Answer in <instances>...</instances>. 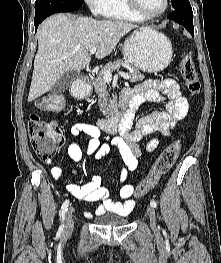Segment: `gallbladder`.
Here are the masks:
<instances>
[{
  "label": "gallbladder",
  "instance_id": "1",
  "mask_svg": "<svg viewBox=\"0 0 221 263\" xmlns=\"http://www.w3.org/2000/svg\"><path fill=\"white\" fill-rule=\"evenodd\" d=\"M80 77L79 71H69L62 75L51 89L52 93L60 94L65 92L71 84Z\"/></svg>",
  "mask_w": 221,
  "mask_h": 263
}]
</instances>
